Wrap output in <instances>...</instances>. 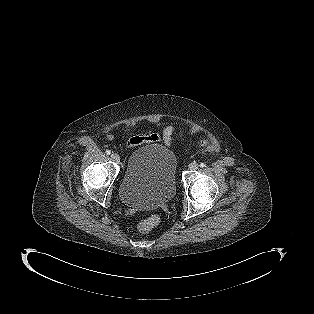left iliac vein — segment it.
Instances as JSON below:
<instances>
[{
    "label": "left iliac vein",
    "mask_w": 314,
    "mask_h": 314,
    "mask_svg": "<svg viewBox=\"0 0 314 314\" xmlns=\"http://www.w3.org/2000/svg\"><path fill=\"white\" fill-rule=\"evenodd\" d=\"M199 167V165L196 163V162H191L189 165H188V168L190 170H197Z\"/></svg>",
    "instance_id": "obj_1"
}]
</instances>
